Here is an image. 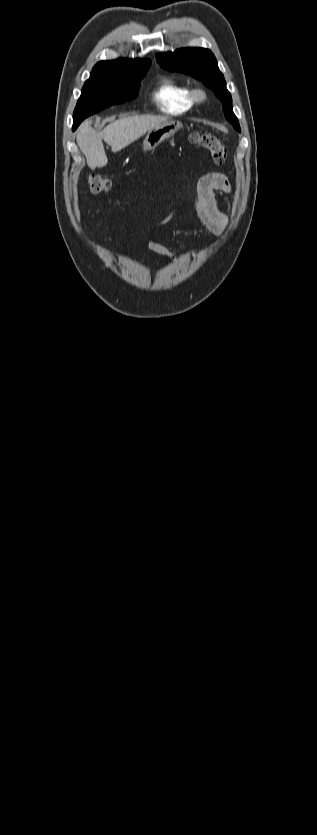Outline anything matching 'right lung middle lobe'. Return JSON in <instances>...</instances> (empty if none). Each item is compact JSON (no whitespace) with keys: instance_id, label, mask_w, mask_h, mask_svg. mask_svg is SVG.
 Listing matches in <instances>:
<instances>
[{"instance_id":"dd1d6c3e","label":"right lung middle lobe","mask_w":317,"mask_h":835,"mask_svg":"<svg viewBox=\"0 0 317 835\" xmlns=\"http://www.w3.org/2000/svg\"><path fill=\"white\" fill-rule=\"evenodd\" d=\"M150 64L133 71H116L99 76H90L85 82L73 115V128L88 116L111 105L123 103L137 97L140 80Z\"/></svg>"}]
</instances>
